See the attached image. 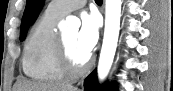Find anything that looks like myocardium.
Instances as JSON below:
<instances>
[{
  "mask_svg": "<svg viewBox=\"0 0 173 91\" xmlns=\"http://www.w3.org/2000/svg\"><path fill=\"white\" fill-rule=\"evenodd\" d=\"M57 60L60 69L70 78L83 75L89 69L91 64L90 58H87L82 64H77L75 62L63 35H59L58 38Z\"/></svg>",
  "mask_w": 173,
  "mask_h": 91,
  "instance_id": "myocardium-1",
  "label": "myocardium"
}]
</instances>
